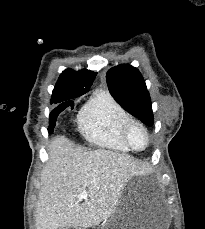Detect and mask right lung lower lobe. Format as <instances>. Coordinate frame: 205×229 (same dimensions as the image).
I'll return each instance as SVG.
<instances>
[{
  "mask_svg": "<svg viewBox=\"0 0 205 229\" xmlns=\"http://www.w3.org/2000/svg\"><path fill=\"white\" fill-rule=\"evenodd\" d=\"M68 106L73 109L74 103L72 101L62 103L50 113V126L48 128L49 133H52L54 131L53 128L55 127L57 116Z\"/></svg>",
  "mask_w": 205,
  "mask_h": 229,
  "instance_id": "obj_1",
  "label": "right lung lower lobe"
}]
</instances>
